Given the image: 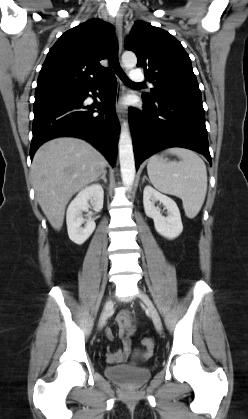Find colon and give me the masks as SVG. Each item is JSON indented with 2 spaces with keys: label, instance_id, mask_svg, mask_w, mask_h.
Listing matches in <instances>:
<instances>
[{
  "label": "colon",
  "instance_id": "obj_1",
  "mask_svg": "<svg viewBox=\"0 0 248 419\" xmlns=\"http://www.w3.org/2000/svg\"><path fill=\"white\" fill-rule=\"evenodd\" d=\"M142 345H143L144 349L147 350L148 352H151L154 349V342L150 338H144L142 340Z\"/></svg>",
  "mask_w": 248,
  "mask_h": 419
}]
</instances>
